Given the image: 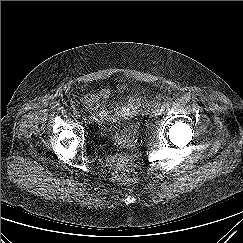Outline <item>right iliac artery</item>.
<instances>
[{"label":"right iliac artery","mask_w":243,"mask_h":243,"mask_svg":"<svg viewBox=\"0 0 243 243\" xmlns=\"http://www.w3.org/2000/svg\"><path fill=\"white\" fill-rule=\"evenodd\" d=\"M80 114H81L80 111H75V112H74V115H75L77 118L81 116Z\"/></svg>","instance_id":"obj_1"}]
</instances>
